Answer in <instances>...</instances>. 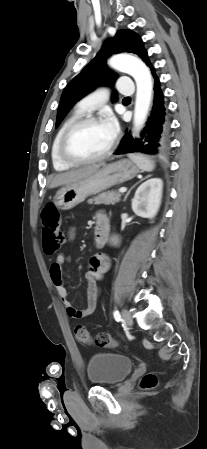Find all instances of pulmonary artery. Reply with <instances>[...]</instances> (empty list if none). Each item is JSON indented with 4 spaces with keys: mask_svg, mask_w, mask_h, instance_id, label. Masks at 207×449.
Returning a JSON list of instances; mask_svg holds the SVG:
<instances>
[{
    "mask_svg": "<svg viewBox=\"0 0 207 449\" xmlns=\"http://www.w3.org/2000/svg\"><path fill=\"white\" fill-rule=\"evenodd\" d=\"M118 91L123 94L130 96L134 93V86L130 78H124L121 81V85L118 87ZM109 96V89L102 87L94 91L93 93L87 95L78 103V108L81 111H92L101 104H103Z\"/></svg>",
    "mask_w": 207,
    "mask_h": 449,
    "instance_id": "pulmonary-artery-1",
    "label": "pulmonary artery"
}]
</instances>
